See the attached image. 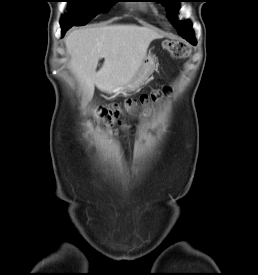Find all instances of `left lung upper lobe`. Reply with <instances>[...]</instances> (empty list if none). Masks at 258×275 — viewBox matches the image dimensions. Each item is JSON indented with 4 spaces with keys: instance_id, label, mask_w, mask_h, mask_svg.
<instances>
[{
    "instance_id": "obj_1",
    "label": "left lung upper lobe",
    "mask_w": 258,
    "mask_h": 275,
    "mask_svg": "<svg viewBox=\"0 0 258 275\" xmlns=\"http://www.w3.org/2000/svg\"><path fill=\"white\" fill-rule=\"evenodd\" d=\"M160 2L167 8L168 18L172 22L173 26L177 29L179 35L186 34L192 30V25L188 21L174 22L176 18L180 0H160Z\"/></svg>"
}]
</instances>
